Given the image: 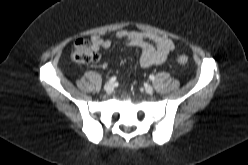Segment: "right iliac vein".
<instances>
[{"label":"right iliac vein","mask_w":248,"mask_h":165,"mask_svg":"<svg viewBox=\"0 0 248 165\" xmlns=\"http://www.w3.org/2000/svg\"><path fill=\"white\" fill-rule=\"evenodd\" d=\"M113 89H114L113 83H107V84L104 86V90H105V92H106L107 94L112 93Z\"/></svg>","instance_id":"right-iliac-vein-1"}]
</instances>
